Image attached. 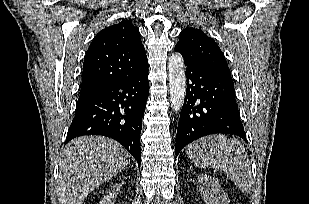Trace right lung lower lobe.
I'll list each match as a JSON object with an SVG mask.
<instances>
[{
    "mask_svg": "<svg viewBox=\"0 0 309 204\" xmlns=\"http://www.w3.org/2000/svg\"><path fill=\"white\" fill-rule=\"evenodd\" d=\"M149 93L148 68L79 97L66 143L83 135H102L124 146L140 165L142 117Z\"/></svg>",
    "mask_w": 309,
    "mask_h": 204,
    "instance_id": "1",
    "label": "right lung lower lobe"
}]
</instances>
